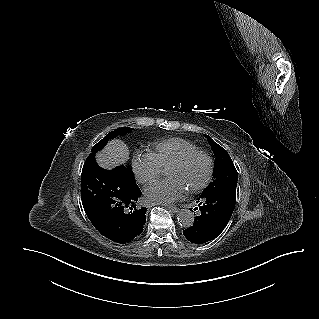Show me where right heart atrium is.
Wrapping results in <instances>:
<instances>
[{
	"mask_svg": "<svg viewBox=\"0 0 319 319\" xmlns=\"http://www.w3.org/2000/svg\"><path fill=\"white\" fill-rule=\"evenodd\" d=\"M132 170L136 180L142 185L153 183L162 173V168L151 153H135L132 158Z\"/></svg>",
	"mask_w": 319,
	"mask_h": 319,
	"instance_id": "right-heart-atrium-1",
	"label": "right heart atrium"
}]
</instances>
